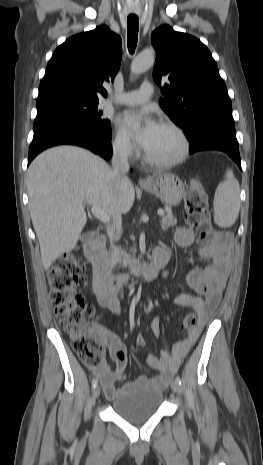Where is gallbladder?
<instances>
[{
	"label": "gallbladder",
	"instance_id": "1",
	"mask_svg": "<svg viewBox=\"0 0 263 465\" xmlns=\"http://www.w3.org/2000/svg\"><path fill=\"white\" fill-rule=\"evenodd\" d=\"M89 238V235L88 234H85L81 237V240L84 242L86 241L87 239Z\"/></svg>",
	"mask_w": 263,
	"mask_h": 465
}]
</instances>
